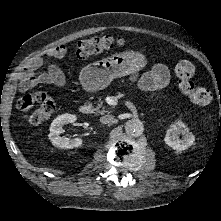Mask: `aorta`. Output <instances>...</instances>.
Instances as JSON below:
<instances>
[{
  "instance_id": "aorta-1",
  "label": "aorta",
  "mask_w": 221,
  "mask_h": 221,
  "mask_svg": "<svg viewBox=\"0 0 221 221\" xmlns=\"http://www.w3.org/2000/svg\"><path fill=\"white\" fill-rule=\"evenodd\" d=\"M144 125L138 119H131L125 123V132L133 137H138L143 134Z\"/></svg>"
}]
</instances>
